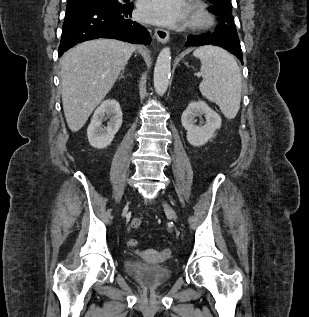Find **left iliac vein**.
<instances>
[{
  "instance_id": "4c4485c4",
  "label": "left iliac vein",
  "mask_w": 309,
  "mask_h": 317,
  "mask_svg": "<svg viewBox=\"0 0 309 317\" xmlns=\"http://www.w3.org/2000/svg\"><path fill=\"white\" fill-rule=\"evenodd\" d=\"M163 207L167 215H169L174 221H177L178 217L175 210L166 202H163Z\"/></svg>"
}]
</instances>
